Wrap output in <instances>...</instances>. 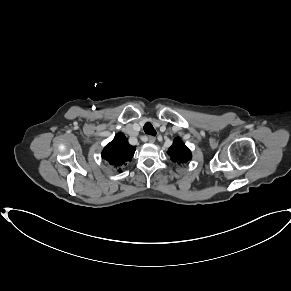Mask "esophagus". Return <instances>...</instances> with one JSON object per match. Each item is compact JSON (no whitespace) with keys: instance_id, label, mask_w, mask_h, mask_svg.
<instances>
[{"instance_id":"esophagus-1","label":"esophagus","mask_w":291,"mask_h":291,"mask_svg":"<svg viewBox=\"0 0 291 291\" xmlns=\"http://www.w3.org/2000/svg\"><path fill=\"white\" fill-rule=\"evenodd\" d=\"M155 140H156V138H155L154 136H149V137H148V142H149V143H154Z\"/></svg>"}]
</instances>
